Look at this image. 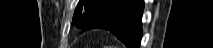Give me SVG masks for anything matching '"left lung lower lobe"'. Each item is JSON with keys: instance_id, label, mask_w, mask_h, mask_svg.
<instances>
[{"instance_id": "0a47b994", "label": "left lung lower lobe", "mask_w": 213, "mask_h": 48, "mask_svg": "<svg viewBox=\"0 0 213 48\" xmlns=\"http://www.w3.org/2000/svg\"><path fill=\"white\" fill-rule=\"evenodd\" d=\"M143 8V0H114L96 12L82 30L106 29L114 33L127 48H139Z\"/></svg>"}]
</instances>
